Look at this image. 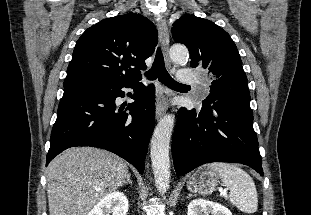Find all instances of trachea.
<instances>
[{"instance_id": "1", "label": "trachea", "mask_w": 311, "mask_h": 215, "mask_svg": "<svg viewBox=\"0 0 311 215\" xmlns=\"http://www.w3.org/2000/svg\"><path fill=\"white\" fill-rule=\"evenodd\" d=\"M145 76L149 80H158L169 88L189 87L175 81L167 72L165 68L164 58L161 48L158 47L155 55L153 65L150 70L145 72Z\"/></svg>"}]
</instances>
